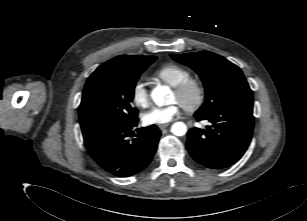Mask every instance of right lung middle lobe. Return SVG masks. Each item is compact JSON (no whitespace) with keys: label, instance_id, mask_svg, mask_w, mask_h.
<instances>
[{"label":"right lung middle lobe","instance_id":"1","mask_svg":"<svg viewBox=\"0 0 307 221\" xmlns=\"http://www.w3.org/2000/svg\"><path fill=\"white\" fill-rule=\"evenodd\" d=\"M92 73L88 78L79 106V120L84 141L115 126L137 119V109L131 102L140 74L155 60Z\"/></svg>","mask_w":307,"mask_h":221}]
</instances>
